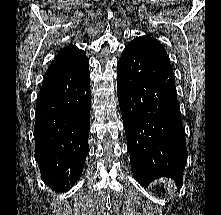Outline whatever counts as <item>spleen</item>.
Masks as SVG:
<instances>
[{
	"label": "spleen",
	"instance_id": "3e777b00",
	"mask_svg": "<svg viewBox=\"0 0 221 215\" xmlns=\"http://www.w3.org/2000/svg\"><path fill=\"white\" fill-rule=\"evenodd\" d=\"M174 182L172 181H165V185L167 186L168 191H172V186H173Z\"/></svg>",
	"mask_w": 221,
	"mask_h": 215
}]
</instances>
